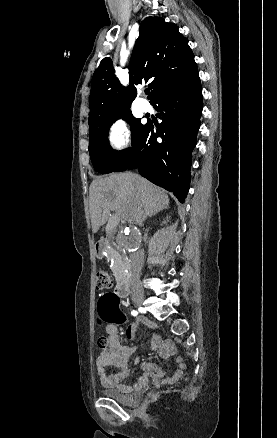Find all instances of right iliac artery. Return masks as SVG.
<instances>
[{"label": "right iliac artery", "mask_w": 277, "mask_h": 438, "mask_svg": "<svg viewBox=\"0 0 277 438\" xmlns=\"http://www.w3.org/2000/svg\"><path fill=\"white\" fill-rule=\"evenodd\" d=\"M131 314H132L133 316H136L138 313H137V311L133 310V311L131 312Z\"/></svg>", "instance_id": "82829eb1"}]
</instances>
